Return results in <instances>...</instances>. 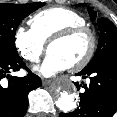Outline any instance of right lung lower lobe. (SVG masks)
<instances>
[{"instance_id":"98d812e1","label":"right lung lower lobe","mask_w":117,"mask_h":117,"mask_svg":"<svg viewBox=\"0 0 117 117\" xmlns=\"http://www.w3.org/2000/svg\"><path fill=\"white\" fill-rule=\"evenodd\" d=\"M27 70L25 77L9 76L11 71ZM8 83L3 85V78ZM41 86L39 76L33 74L18 56L0 59V117H23L28 107V93Z\"/></svg>"}]
</instances>
